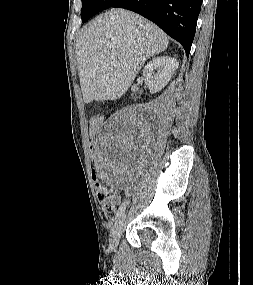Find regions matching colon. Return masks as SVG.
Masks as SVG:
<instances>
[{
  "mask_svg": "<svg viewBox=\"0 0 253 285\" xmlns=\"http://www.w3.org/2000/svg\"><path fill=\"white\" fill-rule=\"evenodd\" d=\"M101 123V118L97 115H94L90 119V146H89V154H90V160H89V168L91 172V176H93V179L95 180V188L97 197L99 200V203L102 207V209L105 212H112L116 205L119 202V193L106 186L102 182L98 181L102 179V176L100 175L99 167H96V163H98L96 148L98 145V127Z\"/></svg>",
  "mask_w": 253,
  "mask_h": 285,
  "instance_id": "obj_1",
  "label": "colon"
}]
</instances>
